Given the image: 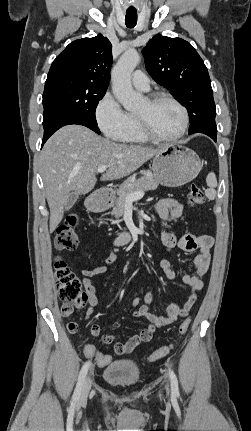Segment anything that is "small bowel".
Listing matches in <instances>:
<instances>
[{
	"label": "small bowel",
	"instance_id": "c3829d8e",
	"mask_svg": "<svg viewBox=\"0 0 251 431\" xmlns=\"http://www.w3.org/2000/svg\"><path fill=\"white\" fill-rule=\"evenodd\" d=\"M184 209L185 207L183 202L177 199H162L153 205V211L155 212L156 216L160 220L164 221H173L182 218L184 215ZM159 237L161 243L167 250L179 248L186 252H198L193 259L195 273L193 275L186 273L181 275L182 281L190 288V294L182 306L170 304L163 314L154 313L151 311L153 297L149 290L144 296L143 303L140 297H135L132 300L131 308L125 307V310L134 317L145 318L147 320V326L139 334L131 336L124 342H115L116 336L114 334L101 335L100 323L94 322L90 327L91 335L93 337L99 338L103 344L114 343V352L117 355L132 352L141 343L150 341L153 333L157 329L172 324L179 317L187 316L197 300L198 292L204 285V277L207 273L211 260V251L213 246L212 237L205 234L191 233H184L177 236L164 229L160 230ZM116 259L117 253L112 252L104 259L102 265L91 269H81L80 274L82 276V283L85 287L87 301L89 304V307L86 311V319L91 318L94 307L97 306L99 302L98 291L92 282V278L108 272L109 266L115 262ZM160 267L168 279H176L177 274L171 269V264L168 259L163 258L160 261ZM68 331L72 334L76 333L77 325L75 329H70L68 324ZM77 351H80V348H77ZM95 351H97V348Z\"/></svg>",
	"mask_w": 251,
	"mask_h": 431
}]
</instances>
